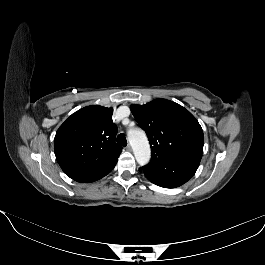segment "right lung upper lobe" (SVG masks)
Instances as JSON below:
<instances>
[{"label":"right lung upper lobe","mask_w":265,"mask_h":265,"mask_svg":"<svg viewBox=\"0 0 265 265\" xmlns=\"http://www.w3.org/2000/svg\"><path fill=\"white\" fill-rule=\"evenodd\" d=\"M113 108L92 105L70 117L57 130L55 155L68 175L108 174L116 165L122 147L115 143L117 126Z\"/></svg>","instance_id":"right-lung-upper-lobe-1"}]
</instances>
